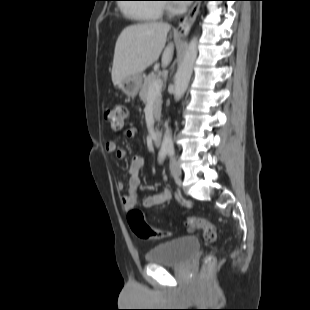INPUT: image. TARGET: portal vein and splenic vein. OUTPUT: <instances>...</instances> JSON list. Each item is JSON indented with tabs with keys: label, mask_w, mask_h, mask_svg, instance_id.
Listing matches in <instances>:
<instances>
[{
	"label": "portal vein and splenic vein",
	"mask_w": 310,
	"mask_h": 310,
	"mask_svg": "<svg viewBox=\"0 0 310 310\" xmlns=\"http://www.w3.org/2000/svg\"><path fill=\"white\" fill-rule=\"evenodd\" d=\"M163 82L158 79L149 88L148 98H153L161 92Z\"/></svg>",
	"instance_id": "1"
}]
</instances>
